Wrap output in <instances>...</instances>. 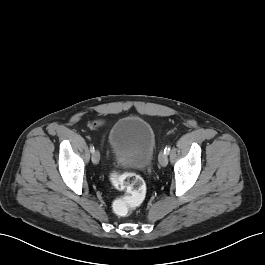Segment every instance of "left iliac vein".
<instances>
[{
    "instance_id": "left-iliac-vein-1",
    "label": "left iliac vein",
    "mask_w": 265,
    "mask_h": 265,
    "mask_svg": "<svg viewBox=\"0 0 265 265\" xmlns=\"http://www.w3.org/2000/svg\"><path fill=\"white\" fill-rule=\"evenodd\" d=\"M158 159H159V163H160V165L162 167L167 166V164H168V157H167V155L164 152H161L159 154V158Z\"/></svg>"
}]
</instances>
